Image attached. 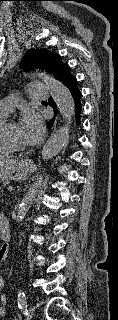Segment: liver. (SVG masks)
<instances>
[{"label":"liver","instance_id":"obj_1","mask_svg":"<svg viewBox=\"0 0 118 320\" xmlns=\"http://www.w3.org/2000/svg\"><path fill=\"white\" fill-rule=\"evenodd\" d=\"M16 160H13V159H6V160H1L0 159V168L1 167H4L5 165H9V164H12V163H15Z\"/></svg>","mask_w":118,"mask_h":320}]
</instances>
